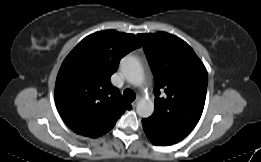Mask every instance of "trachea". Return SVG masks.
Segmentation results:
<instances>
[{
    "mask_svg": "<svg viewBox=\"0 0 261 162\" xmlns=\"http://www.w3.org/2000/svg\"><path fill=\"white\" fill-rule=\"evenodd\" d=\"M135 97H136V95L132 90H129V89L124 90L123 98L125 101L132 102L135 100Z\"/></svg>",
    "mask_w": 261,
    "mask_h": 162,
    "instance_id": "3493384b",
    "label": "trachea"
}]
</instances>
